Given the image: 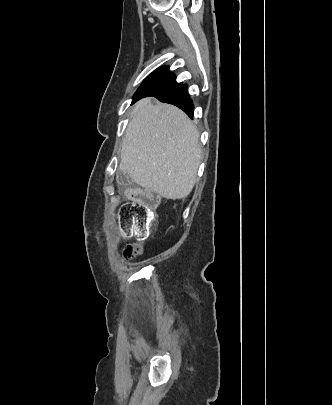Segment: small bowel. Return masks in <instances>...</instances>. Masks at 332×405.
<instances>
[{
  "instance_id": "1",
  "label": "small bowel",
  "mask_w": 332,
  "mask_h": 405,
  "mask_svg": "<svg viewBox=\"0 0 332 405\" xmlns=\"http://www.w3.org/2000/svg\"><path fill=\"white\" fill-rule=\"evenodd\" d=\"M115 186H132V177L129 172H115Z\"/></svg>"
}]
</instances>
